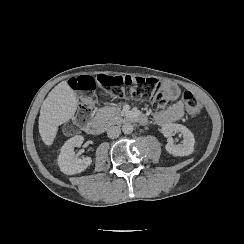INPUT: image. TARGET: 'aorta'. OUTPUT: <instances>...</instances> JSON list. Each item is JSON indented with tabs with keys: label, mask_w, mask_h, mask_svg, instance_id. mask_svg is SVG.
Returning a JSON list of instances; mask_svg holds the SVG:
<instances>
[{
	"label": "aorta",
	"mask_w": 244,
	"mask_h": 244,
	"mask_svg": "<svg viewBox=\"0 0 244 244\" xmlns=\"http://www.w3.org/2000/svg\"><path fill=\"white\" fill-rule=\"evenodd\" d=\"M122 131L125 134H131L133 132V125L131 123L123 124Z\"/></svg>",
	"instance_id": "762f6f07"
}]
</instances>
